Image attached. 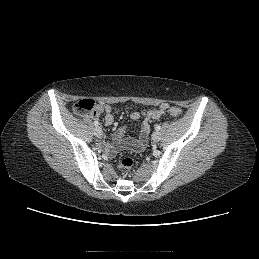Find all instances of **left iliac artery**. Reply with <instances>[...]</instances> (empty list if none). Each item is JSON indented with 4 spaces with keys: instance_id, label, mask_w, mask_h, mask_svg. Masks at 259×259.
Instances as JSON below:
<instances>
[{
    "instance_id": "1",
    "label": "left iliac artery",
    "mask_w": 259,
    "mask_h": 259,
    "mask_svg": "<svg viewBox=\"0 0 259 259\" xmlns=\"http://www.w3.org/2000/svg\"><path fill=\"white\" fill-rule=\"evenodd\" d=\"M155 129L158 131V130L161 129V126H160V125H156V126H155Z\"/></svg>"
}]
</instances>
